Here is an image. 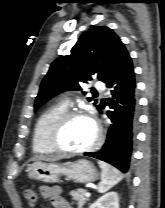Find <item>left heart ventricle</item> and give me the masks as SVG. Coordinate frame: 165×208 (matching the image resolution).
I'll return each instance as SVG.
<instances>
[{"label":"left heart ventricle","mask_w":165,"mask_h":208,"mask_svg":"<svg viewBox=\"0 0 165 208\" xmlns=\"http://www.w3.org/2000/svg\"><path fill=\"white\" fill-rule=\"evenodd\" d=\"M95 138V127L86 117L72 119L61 133L60 143L68 149H82Z\"/></svg>","instance_id":"b2bd125f"}]
</instances>
